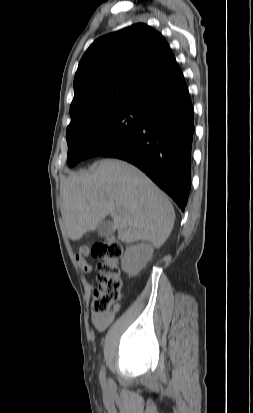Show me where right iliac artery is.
I'll list each match as a JSON object with an SVG mask.
<instances>
[{"label":"right iliac artery","mask_w":253,"mask_h":413,"mask_svg":"<svg viewBox=\"0 0 253 413\" xmlns=\"http://www.w3.org/2000/svg\"><path fill=\"white\" fill-rule=\"evenodd\" d=\"M100 379H101V381H104V380H105L104 370H102L101 373H100Z\"/></svg>","instance_id":"obj_1"}]
</instances>
